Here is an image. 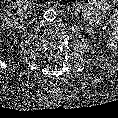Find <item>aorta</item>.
<instances>
[{"mask_svg":"<svg viewBox=\"0 0 118 118\" xmlns=\"http://www.w3.org/2000/svg\"><path fill=\"white\" fill-rule=\"evenodd\" d=\"M43 17L47 22H52L56 19L57 12L55 9H48L44 12Z\"/></svg>","mask_w":118,"mask_h":118,"instance_id":"obj_1","label":"aorta"}]
</instances>
